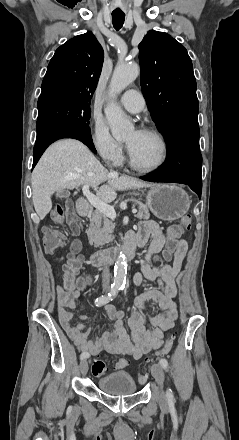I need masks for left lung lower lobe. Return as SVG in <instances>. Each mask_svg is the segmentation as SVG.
<instances>
[{"instance_id":"1","label":"left lung lower lobe","mask_w":239,"mask_h":440,"mask_svg":"<svg viewBox=\"0 0 239 440\" xmlns=\"http://www.w3.org/2000/svg\"><path fill=\"white\" fill-rule=\"evenodd\" d=\"M199 135L198 125L184 126L174 130L166 139L168 150L162 168L141 179L150 182L187 184L201 198L202 156L199 149Z\"/></svg>"}]
</instances>
